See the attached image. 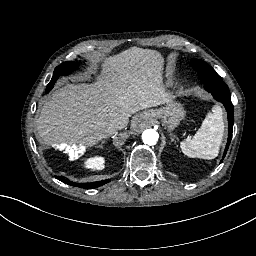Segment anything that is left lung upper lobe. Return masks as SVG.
Instances as JSON below:
<instances>
[{
    "label": "left lung upper lobe",
    "instance_id": "1",
    "mask_svg": "<svg viewBox=\"0 0 256 256\" xmlns=\"http://www.w3.org/2000/svg\"><path fill=\"white\" fill-rule=\"evenodd\" d=\"M190 65L198 72L199 78L204 83L206 90L212 93L216 100L222 102L227 109L229 127L228 141L223 155L224 159L231 142L234 122L231 94L229 92L228 86L223 82L222 78L206 62L198 59H192Z\"/></svg>",
    "mask_w": 256,
    "mask_h": 256
}]
</instances>
